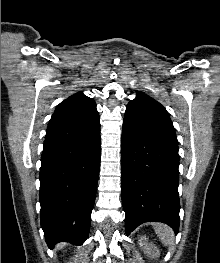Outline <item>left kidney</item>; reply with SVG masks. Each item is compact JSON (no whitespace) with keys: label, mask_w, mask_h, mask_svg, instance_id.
<instances>
[{"label":"left kidney","mask_w":220,"mask_h":263,"mask_svg":"<svg viewBox=\"0 0 220 263\" xmlns=\"http://www.w3.org/2000/svg\"><path fill=\"white\" fill-rule=\"evenodd\" d=\"M139 245L145 250V252L153 257H158L159 256V250L157 247L148 241V239L145 236L140 237L139 240Z\"/></svg>","instance_id":"5707ae66"}]
</instances>
